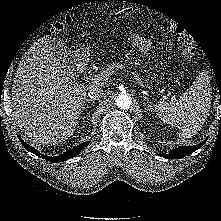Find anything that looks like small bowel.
<instances>
[{"instance_id":"obj_1","label":"small bowel","mask_w":221,"mask_h":221,"mask_svg":"<svg viewBox=\"0 0 221 221\" xmlns=\"http://www.w3.org/2000/svg\"><path fill=\"white\" fill-rule=\"evenodd\" d=\"M130 39L133 45L137 47L140 51L148 52L151 50L152 46L147 38L140 36L139 34L132 33L130 35Z\"/></svg>"}]
</instances>
